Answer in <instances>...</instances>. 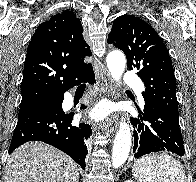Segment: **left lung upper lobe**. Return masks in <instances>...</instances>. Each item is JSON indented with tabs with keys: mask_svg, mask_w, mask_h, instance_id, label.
Segmentation results:
<instances>
[{
	"mask_svg": "<svg viewBox=\"0 0 196 182\" xmlns=\"http://www.w3.org/2000/svg\"><path fill=\"white\" fill-rule=\"evenodd\" d=\"M108 43L125 53L129 70L138 69L146 86L143 97H151L178 116L172 61L154 28L136 16L123 15L114 20Z\"/></svg>",
	"mask_w": 196,
	"mask_h": 182,
	"instance_id": "left-lung-upper-lobe-1",
	"label": "left lung upper lobe"
}]
</instances>
